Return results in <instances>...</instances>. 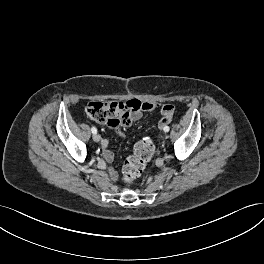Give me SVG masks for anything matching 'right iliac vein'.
I'll use <instances>...</instances> for the list:
<instances>
[{"mask_svg": "<svg viewBox=\"0 0 264 264\" xmlns=\"http://www.w3.org/2000/svg\"><path fill=\"white\" fill-rule=\"evenodd\" d=\"M93 140L95 141V142H99L100 140H101V137H100V135L99 134H94L93 135Z\"/></svg>", "mask_w": 264, "mask_h": 264, "instance_id": "right-iliac-vein-1", "label": "right iliac vein"}]
</instances>
